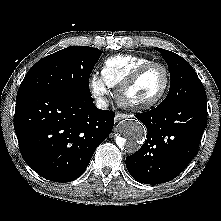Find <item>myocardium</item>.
Returning <instances> with one entry per match:
<instances>
[{
	"mask_svg": "<svg viewBox=\"0 0 221 221\" xmlns=\"http://www.w3.org/2000/svg\"><path fill=\"white\" fill-rule=\"evenodd\" d=\"M160 67L164 71L165 83L161 91L153 98L143 102H131L126 100L125 96L127 91L136 84V82L151 68ZM171 84V76L169 69L163 63L150 62L135 70L129 77H127L116 90V99L118 104L128 110L142 111L147 110L163 100L166 96Z\"/></svg>",
	"mask_w": 221,
	"mask_h": 221,
	"instance_id": "1",
	"label": "myocardium"
}]
</instances>
